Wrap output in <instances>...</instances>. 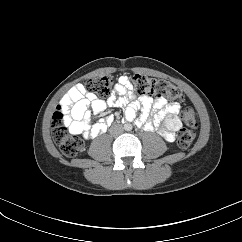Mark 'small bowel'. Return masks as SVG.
<instances>
[{
	"label": "small bowel",
	"mask_w": 242,
	"mask_h": 242,
	"mask_svg": "<svg viewBox=\"0 0 242 242\" xmlns=\"http://www.w3.org/2000/svg\"><path fill=\"white\" fill-rule=\"evenodd\" d=\"M107 106L125 107L124 116L127 121L136 118L137 125L147 129H156L163 122L162 136L168 141L175 140V133L181 127L178 117L181 106L177 102H167L164 98L153 99L142 96L134 99L130 83L124 77L115 85L114 94L102 99L93 93H86L81 85L73 87L63 98L59 109L65 115V123L69 129L83 138L88 139L104 132L114 117L108 115L93 123V117L106 109Z\"/></svg>",
	"instance_id": "small-bowel-1"
}]
</instances>
